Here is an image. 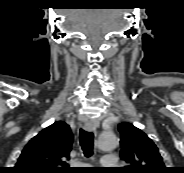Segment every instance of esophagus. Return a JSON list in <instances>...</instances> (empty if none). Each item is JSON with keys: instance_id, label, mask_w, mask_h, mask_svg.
<instances>
[{"instance_id": "esophagus-1", "label": "esophagus", "mask_w": 184, "mask_h": 173, "mask_svg": "<svg viewBox=\"0 0 184 173\" xmlns=\"http://www.w3.org/2000/svg\"><path fill=\"white\" fill-rule=\"evenodd\" d=\"M99 126V121L98 120H87L84 123V128L87 131H94L98 128Z\"/></svg>"}]
</instances>
